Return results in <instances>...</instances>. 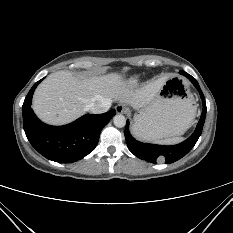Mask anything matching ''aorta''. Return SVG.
I'll use <instances>...</instances> for the list:
<instances>
[{"mask_svg":"<svg viewBox=\"0 0 233 233\" xmlns=\"http://www.w3.org/2000/svg\"><path fill=\"white\" fill-rule=\"evenodd\" d=\"M113 122L116 127L122 128L126 125V118L123 115L118 114L114 116Z\"/></svg>","mask_w":233,"mask_h":233,"instance_id":"aorta-1","label":"aorta"}]
</instances>
